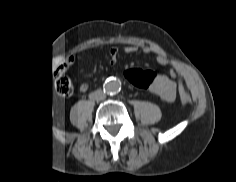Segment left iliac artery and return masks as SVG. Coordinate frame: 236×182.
<instances>
[{
  "label": "left iliac artery",
  "instance_id": "obj_1",
  "mask_svg": "<svg viewBox=\"0 0 236 182\" xmlns=\"http://www.w3.org/2000/svg\"><path fill=\"white\" fill-rule=\"evenodd\" d=\"M120 92V88H117L116 90L112 91L110 93L111 96L115 95L116 93Z\"/></svg>",
  "mask_w": 236,
  "mask_h": 182
}]
</instances>
